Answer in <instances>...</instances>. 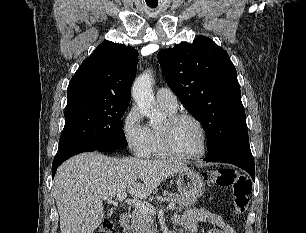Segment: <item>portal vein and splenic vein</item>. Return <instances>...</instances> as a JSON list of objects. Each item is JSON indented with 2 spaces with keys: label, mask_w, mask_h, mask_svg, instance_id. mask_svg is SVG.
Masks as SVG:
<instances>
[{
  "label": "portal vein and splenic vein",
  "mask_w": 306,
  "mask_h": 233,
  "mask_svg": "<svg viewBox=\"0 0 306 233\" xmlns=\"http://www.w3.org/2000/svg\"><path fill=\"white\" fill-rule=\"evenodd\" d=\"M127 193L126 192H119L117 194V200L119 202H123L125 201L127 204L134 206L136 209H140L143 212H147V213H151V214H155L156 213V209L149 203L146 201H142L139 199H126ZM103 199H110L108 196L103 197ZM168 209H175V203L171 202L168 204L167 206Z\"/></svg>",
  "instance_id": "18ae733b"
}]
</instances>
